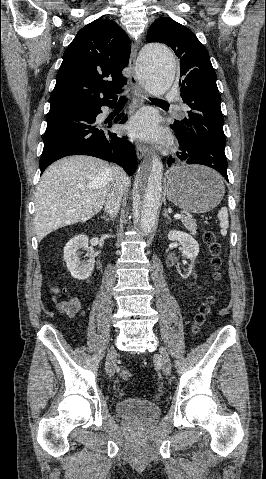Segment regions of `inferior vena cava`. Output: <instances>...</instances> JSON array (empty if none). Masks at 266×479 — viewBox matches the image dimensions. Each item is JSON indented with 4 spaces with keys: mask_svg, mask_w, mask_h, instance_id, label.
Returning a JSON list of instances; mask_svg holds the SVG:
<instances>
[{
    "mask_svg": "<svg viewBox=\"0 0 266 479\" xmlns=\"http://www.w3.org/2000/svg\"><path fill=\"white\" fill-rule=\"evenodd\" d=\"M127 181L126 173L120 167L112 168V178L107 189L105 211L113 218L120 210L121 200Z\"/></svg>",
    "mask_w": 266,
    "mask_h": 479,
    "instance_id": "602c4592",
    "label": "inferior vena cava"
}]
</instances>
